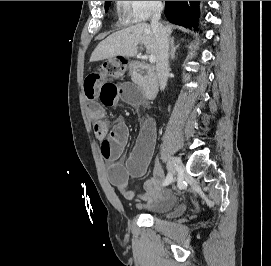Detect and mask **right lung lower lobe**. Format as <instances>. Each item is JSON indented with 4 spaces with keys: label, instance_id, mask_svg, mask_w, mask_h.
<instances>
[{
    "label": "right lung lower lobe",
    "instance_id": "obj_1",
    "mask_svg": "<svg viewBox=\"0 0 271 266\" xmlns=\"http://www.w3.org/2000/svg\"><path fill=\"white\" fill-rule=\"evenodd\" d=\"M200 1H166L165 15L168 21L186 28L198 26Z\"/></svg>",
    "mask_w": 271,
    "mask_h": 266
}]
</instances>
